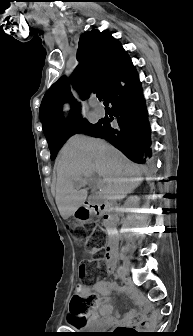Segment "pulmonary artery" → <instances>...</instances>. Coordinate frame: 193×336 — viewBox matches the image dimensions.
Segmentation results:
<instances>
[{"label": "pulmonary artery", "mask_w": 193, "mask_h": 336, "mask_svg": "<svg viewBox=\"0 0 193 336\" xmlns=\"http://www.w3.org/2000/svg\"><path fill=\"white\" fill-rule=\"evenodd\" d=\"M95 102H96L95 99H92V100L90 101V104H91V107H92L93 112H94L95 114L99 115V116L104 115V113H105L104 108H103V107H100V106H96Z\"/></svg>", "instance_id": "pulmonary-artery-1"}]
</instances>
